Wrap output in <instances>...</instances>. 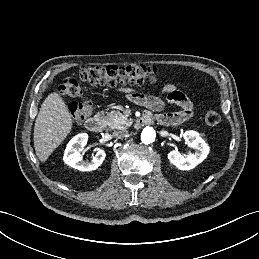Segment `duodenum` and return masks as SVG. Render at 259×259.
<instances>
[{"label": "duodenum", "instance_id": "duodenum-1", "mask_svg": "<svg viewBox=\"0 0 259 259\" xmlns=\"http://www.w3.org/2000/svg\"><path fill=\"white\" fill-rule=\"evenodd\" d=\"M153 116L150 113H144L135 123V128L139 129L153 121ZM86 128L93 132L99 133L104 127V120L101 117H91L85 122Z\"/></svg>", "mask_w": 259, "mask_h": 259}]
</instances>
